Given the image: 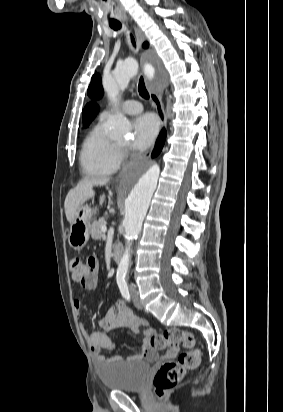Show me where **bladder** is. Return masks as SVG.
I'll use <instances>...</instances> for the list:
<instances>
[{
  "label": "bladder",
  "instance_id": "1",
  "mask_svg": "<svg viewBox=\"0 0 283 412\" xmlns=\"http://www.w3.org/2000/svg\"><path fill=\"white\" fill-rule=\"evenodd\" d=\"M148 372L149 365L145 362L121 361L109 365L99 378L108 389L137 392L144 389Z\"/></svg>",
  "mask_w": 283,
  "mask_h": 412
}]
</instances>
